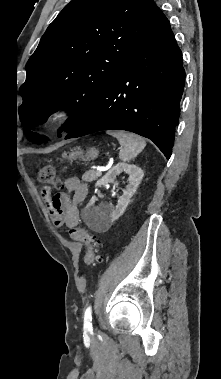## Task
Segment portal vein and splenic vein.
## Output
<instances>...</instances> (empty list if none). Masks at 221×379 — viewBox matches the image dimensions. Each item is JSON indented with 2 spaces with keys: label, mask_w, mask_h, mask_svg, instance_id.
Returning a JSON list of instances; mask_svg holds the SVG:
<instances>
[{
  "label": "portal vein and splenic vein",
  "mask_w": 221,
  "mask_h": 379,
  "mask_svg": "<svg viewBox=\"0 0 221 379\" xmlns=\"http://www.w3.org/2000/svg\"><path fill=\"white\" fill-rule=\"evenodd\" d=\"M103 169H104V167H102V166H98V167H96V170L99 171V172H102Z\"/></svg>",
  "instance_id": "1"
}]
</instances>
